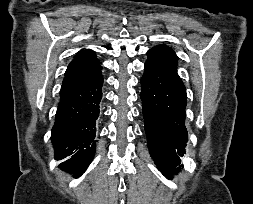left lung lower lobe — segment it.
Returning <instances> with one entry per match:
<instances>
[{"label": "left lung lower lobe", "instance_id": "1", "mask_svg": "<svg viewBox=\"0 0 253 204\" xmlns=\"http://www.w3.org/2000/svg\"><path fill=\"white\" fill-rule=\"evenodd\" d=\"M141 100L148 147L159 170L171 171L185 154L186 88L177 74V56L164 45L147 52Z\"/></svg>", "mask_w": 253, "mask_h": 204}]
</instances>
